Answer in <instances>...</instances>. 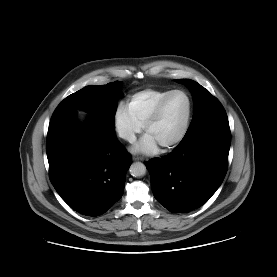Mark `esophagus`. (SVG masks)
<instances>
[{
  "instance_id": "obj_1",
  "label": "esophagus",
  "mask_w": 277,
  "mask_h": 277,
  "mask_svg": "<svg viewBox=\"0 0 277 277\" xmlns=\"http://www.w3.org/2000/svg\"><path fill=\"white\" fill-rule=\"evenodd\" d=\"M133 160H135V161H144L145 158L142 157V156H133Z\"/></svg>"
}]
</instances>
